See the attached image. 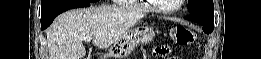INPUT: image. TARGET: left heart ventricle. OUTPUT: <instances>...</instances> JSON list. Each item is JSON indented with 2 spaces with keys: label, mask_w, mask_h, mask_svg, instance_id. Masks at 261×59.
<instances>
[{
  "label": "left heart ventricle",
  "mask_w": 261,
  "mask_h": 59,
  "mask_svg": "<svg viewBox=\"0 0 261 59\" xmlns=\"http://www.w3.org/2000/svg\"><path fill=\"white\" fill-rule=\"evenodd\" d=\"M155 2L160 8L172 9L178 5L179 0H159Z\"/></svg>",
  "instance_id": "obj_1"
}]
</instances>
